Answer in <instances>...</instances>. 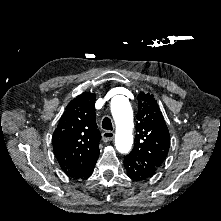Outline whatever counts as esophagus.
<instances>
[{
  "label": "esophagus",
  "instance_id": "esophagus-1",
  "mask_svg": "<svg viewBox=\"0 0 221 221\" xmlns=\"http://www.w3.org/2000/svg\"><path fill=\"white\" fill-rule=\"evenodd\" d=\"M102 138L104 141H111L114 138V133L112 131H104L102 133Z\"/></svg>",
  "mask_w": 221,
  "mask_h": 221
}]
</instances>
